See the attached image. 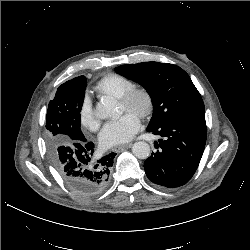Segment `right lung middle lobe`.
Here are the masks:
<instances>
[{"mask_svg": "<svg viewBox=\"0 0 250 250\" xmlns=\"http://www.w3.org/2000/svg\"><path fill=\"white\" fill-rule=\"evenodd\" d=\"M86 77L79 76L62 84L49 102L46 115L45 141L52 156L58 146L82 140L80 111L86 89Z\"/></svg>", "mask_w": 250, "mask_h": 250, "instance_id": "obj_1", "label": "right lung middle lobe"}]
</instances>
